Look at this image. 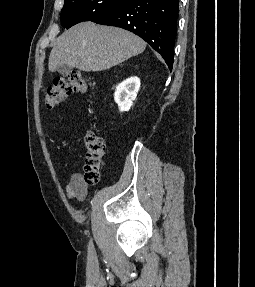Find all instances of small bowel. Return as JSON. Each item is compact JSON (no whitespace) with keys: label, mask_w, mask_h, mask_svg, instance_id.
Here are the masks:
<instances>
[{"label":"small bowel","mask_w":255,"mask_h":287,"mask_svg":"<svg viewBox=\"0 0 255 287\" xmlns=\"http://www.w3.org/2000/svg\"><path fill=\"white\" fill-rule=\"evenodd\" d=\"M88 185L83 176L75 173L71 176L68 185L66 186V196L68 200H83L87 195Z\"/></svg>","instance_id":"obj_1"}]
</instances>
